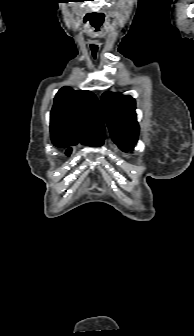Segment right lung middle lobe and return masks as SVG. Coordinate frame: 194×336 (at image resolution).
Wrapping results in <instances>:
<instances>
[{
    "label": "right lung middle lobe",
    "instance_id": "right-lung-middle-lobe-1",
    "mask_svg": "<svg viewBox=\"0 0 194 336\" xmlns=\"http://www.w3.org/2000/svg\"><path fill=\"white\" fill-rule=\"evenodd\" d=\"M53 144L57 147H63V148H67L70 145H76L79 141H75V140H67V139H54ZM104 142V140L98 141V142H89V143H85L87 145H91V146H100L102 145ZM72 149L68 148V150L66 151V154L69 155L71 153Z\"/></svg>",
    "mask_w": 194,
    "mask_h": 336
}]
</instances>
